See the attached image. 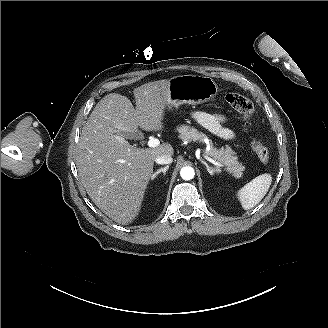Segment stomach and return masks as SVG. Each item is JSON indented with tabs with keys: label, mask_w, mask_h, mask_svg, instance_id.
Segmentation results:
<instances>
[{
	"label": "stomach",
	"mask_w": 328,
	"mask_h": 328,
	"mask_svg": "<svg viewBox=\"0 0 328 328\" xmlns=\"http://www.w3.org/2000/svg\"><path fill=\"white\" fill-rule=\"evenodd\" d=\"M168 104L199 105L213 100L219 93L217 83L208 76L183 75L169 81Z\"/></svg>",
	"instance_id": "stomach-1"
}]
</instances>
